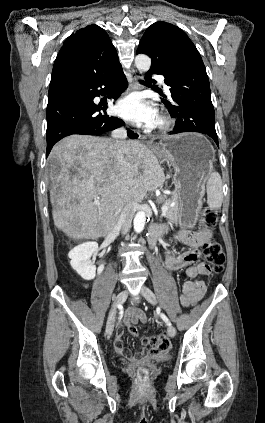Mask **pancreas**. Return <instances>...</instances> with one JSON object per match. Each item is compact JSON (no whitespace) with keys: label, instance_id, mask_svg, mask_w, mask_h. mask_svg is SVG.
Segmentation results:
<instances>
[{"label":"pancreas","instance_id":"pancreas-1","mask_svg":"<svg viewBox=\"0 0 265 423\" xmlns=\"http://www.w3.org/2000/svg\"><path fill=\"white\" fill-rule=\"evenodd\" d=\"M159 200L161 203H163V205H166L168 207V210L165 213L166 218H168L171 223H176L178 221V195L176 193H174L171 197L163 195L159 198Z\"/></svg>","mask_w":265,"mask_h":423}]
</instances>
